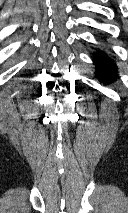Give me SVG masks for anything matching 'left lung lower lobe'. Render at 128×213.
<instances>
[{
  "label": "left lung lower lobe",
  "mask_w": 128,
  "mask_h": 213,
  "mask_svg": "<svg viewBox=\"0 0 128 213\" xmlns=\"http://www.w3.org/2000/svg\"><path fill=\"white\" fill-rule=\"evenodd\" d=\"M94 58L97 77H99L102 81H107L111 76L115 75L117 67L106 54L97 52L94 54Z\"/></svg>",
  "instance_id": "0a47b994"
}]
</instances>
